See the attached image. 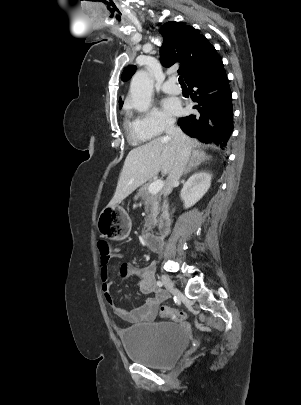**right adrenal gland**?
Here are the masks:
<instances>
[{
	"label": "right adrenal gland",
	"instance_id": "right-adrenal-gland-1",
	"mask_svg": "<svg viewBox=\"0 0 301 405\" xmlns=\"http://www.w3.org/2000/svg\"><path fill=\"white\" fill-rule=\"evenodd\" d=\"M210 159V156H207L203 151H193L192 156L188 162V166L184 171V176L189 173L191 170L196 169L203 162H206Z\"/></svg>",
	"mask_w": 301,
	"mask_h": 405
}]
</instances>
